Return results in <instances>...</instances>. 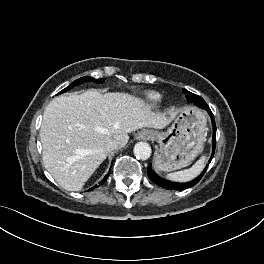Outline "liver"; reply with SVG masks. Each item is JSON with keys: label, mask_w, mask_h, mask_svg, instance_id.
<instances>
[{"label": "liver", "mask_w": 264, "mask_h": 264, "mask_svg": "<svg viewBox=\"0 0 264 264\" xmlns=\"http://www.w3.org/2000/svg\"><path fill=\"white\" fill-rule=\"evenodd\" d=\"M177 111L153 112L126 93L86 91L54 98L46 107L40 129L46 170L68 191H79L106 159L107 143L125 146L128 133L143 127L163 129Z\"/></svg>", "instance_id": "1"}]
</instances>
